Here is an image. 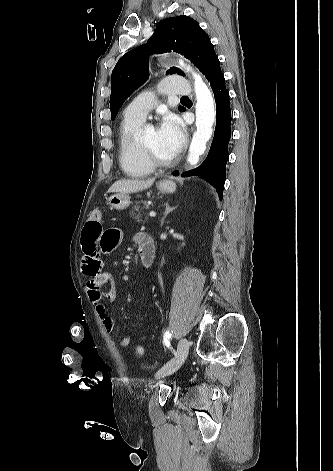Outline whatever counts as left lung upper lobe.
Masks as SVG:
<instances>
[{"label": "left lung upper lobe", "mask_w": 333, "mask_h": 471, "mask_svg": "<svg viewBox=\"0 0 333 471\" xmlns=\"http://www.w3.org/2000/svg\"><path fill=\"white\" fill-rule=\"evenodd\" d=\"M178 52L190 59L202 72L208 58L215 52L208 35L200 28L198 22L188 16H176L159 22L146 45L139 46L124 54L111 75V120L130 94L141 86L149 76V52ZM167 73H184L175 67ZM180 111L185 108L179 106Z\"/></svg>", "instance_id": "5c2ea615"}]
</instances>
